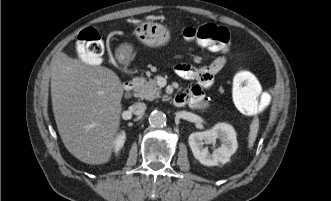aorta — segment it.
I'll return each mask as SVG.
<instances>
[{
  "mask_svg": "<svg viewBox=\"0 0 331 201\" xmlns=\"http://www.w3.org/2000/svg\"><path fill=\"white\" fill-rule=\"evenodd\" d=\"M166 122V115L162 111H153L149 116V123L152 127H164L166 125Z\"/></svg>",
  "mask_w": 331,
  "mask_h": 201,
  "instance_id": "aorta-1",
  "label": "aorta"
}]
</instances>
